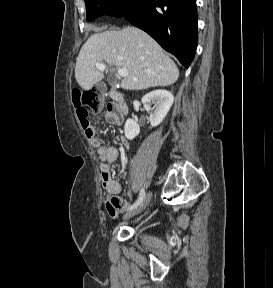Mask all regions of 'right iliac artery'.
I'll return each mask as SVG.
<instances>
[{"label":"right iliac artery","instance_id":"82829eb1","mask_svg":"<svg viewBox=\"0 0 273 288\" xmlns=\"http://www.w3.org/2000/svg\"><path fill=\"white\" fill-rule=\"evenodd\" d=\"M144 197H145V190L142 188L137 201L133 205H131L128 208V210H132V209L136 208L143 201Z\"/></svg>","mask_w":273,"mask_h":288}]
</instances>
